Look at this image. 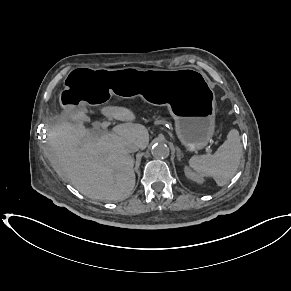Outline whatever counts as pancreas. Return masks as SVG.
<instances>
[{
    "label": "pancreas",
    "mask_w": 291,
    "mask_h": 291,
    "mask_svg": "<svg viewBox=\"0 0 291 291\" xmlns=\"http://www.w3.org/2000/svg\"><path fill=\"white\" fill-rule=\"evenodd\" d=\"M151 119L154 120L156 123L158 124H165L167 123L168 119L167 118H164L160 115H158V112H155L152 116H151Z\"/></svg>",
    "instance_id": "pancreas-1"
}]
</instances>
